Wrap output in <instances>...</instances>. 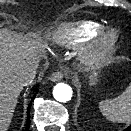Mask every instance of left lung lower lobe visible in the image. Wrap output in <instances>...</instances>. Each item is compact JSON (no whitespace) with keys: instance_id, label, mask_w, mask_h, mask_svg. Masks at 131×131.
<instances>
[{"instance_id":"1","label":"left lung lower lobe","mask_w":131,"mask_h":131,"mask_svg":"<svg viewBox=\"0 0 131 131\" xmlns=\"http://www.w3.org/2000/svg\"><path fill=\"white\" fill-rule=\"evenodd\" d=\"M124 131H131V125L127 127L126 129H124Z\"/></svg>"}]
</instances>
